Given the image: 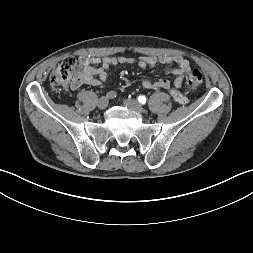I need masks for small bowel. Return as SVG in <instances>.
I'll return each mask as SVG.
<instances>
[{"label": "small bowel", "instance_id": "small-bowel-1", "mask_svg": "<svg viewBox=\"0 0 253 253\" xmlns=\"http://www.w3.org/2000/svg\"><path fill=\"white\" fill-rule=\"evenodd\" d=\"M83 66L82 73L73 83L72 87L77 88L81 85L99 86L109 78L108 68L121 64L137 65L141 70L154 68L158 63L165 65L166 73L176 75L174 88L171 87L170 81L166 78H160L154 82L143 80L142 86L145 89H166L172 98L178 103H186L187 97L178 89L183 85L184 75L190 71V62L181 56H146L134 58L128 56H106L95 57L82 55L79 58ZM175 65V67H171Z\"/></svg>", "mask_w": 253, "mask_h": 253}]
</instances>
